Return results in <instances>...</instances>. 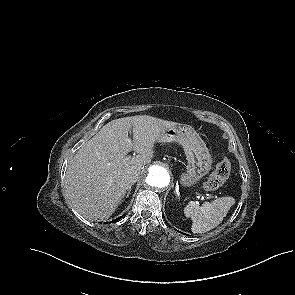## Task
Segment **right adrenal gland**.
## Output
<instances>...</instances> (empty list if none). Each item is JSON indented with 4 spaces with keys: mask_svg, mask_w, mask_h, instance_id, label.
<instances>
[{
    "mask_svg": "<svg viewBox=\"0 0 295 295\" xmlns=\"http://www.w3.org/2000/svg\"><path fill=\"white\" fill-rule=\"evenodd\" d=\"M131 190H132V184L129 186L128 188V192H127V197L129 196V194L131 193Z\"/></svg>",
    "mask_w": 295,
    "mask_h": 295,
    "instance_id": "right-adrenal-gland-1",
    "label": "right adrenal gland"
}]
</instances>
